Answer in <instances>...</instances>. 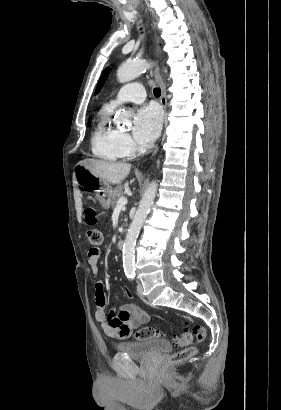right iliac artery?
Here are the masks:
<instances>
[{
    "instance_id": "obj_1",
    "label": "right iliac artery",
    "mask_w": 281,
    "mask_h": 410,
    "mask_svg": "<svg viewBox=\"0 0 281 410\" xmlns=\"http://www.w3.org/2000/svg\"><path fill=\"white\" fill-rule=\"evenodd\" d=\"M134 275H127V278H133Z\"/></svg>"
}]
</instances>
